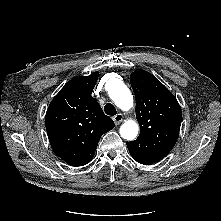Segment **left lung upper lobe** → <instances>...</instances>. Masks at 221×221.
Listing matches in <instances>:
<instances>
[{"label":"left lung upper lobe","mask_w":221,"mask_h":221,"mask_svg":"<svg viewBox=\"0 0 221 221\" xmlns=\"http://www.w3.org/2000/svg\"><path fill=\"white\" fill-rule=\"evenodd\" d=\"M130 83L140 134L127 142V147L134 160L150 165L163 159L176 144L182 112L176 98L151 73L138 69L131 73Z\"/></svg>","instance_id":"1"}]
</instances>
